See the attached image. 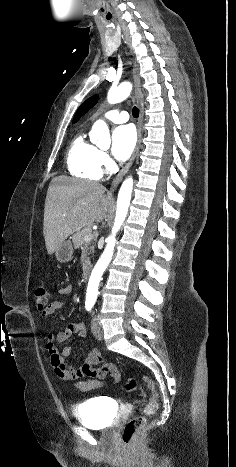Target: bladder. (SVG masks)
I'll return each instance as SVG.
<instances>
[{"label": "bladder", "mask_w": 236, "mask_h": 467, "mask_svg": "<svg viewBox=\"0 0 236 467\" xmlns=\"http://www.w3.org/2000/svg\"><path fill=\"white\" fill-rule=\"evenodd\" d=\"M115 407L105 397L90 398L74 408V416L81 423L98 429L113 425L111 413Z\"/></svg>", "instance_id": "obj_1"}]
</instances>
